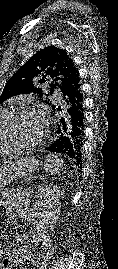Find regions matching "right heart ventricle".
Here are the masks:
<instances>
[{
  "label": "right heart ventricle",
  "instance_id": "obj_1",
  "mask_svg": "<svg viewBox=\"0 0 118 269\" xmlns=\"http://www.w3.org/2000/svg\"><path fill=\"white\" fill-rule=\"evenodd\" d=\"M8 113L9 112L7 110H4V109L0 110V125ZM20 152H21V150H19V149H4L3 146L1 145V141H0V158L6 157V156H12V155L18 154Z\"/></svg>",
  "mask_w": 118,
  "mask_h": 269
}]
</instances>
